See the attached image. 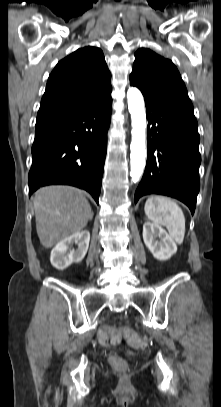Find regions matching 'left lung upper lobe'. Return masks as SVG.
Listing matches in <instances>:
<instances>
[{
	"label": "left lung upper lobe",
	"mask_w": 221,
	"mask_h": 407,
	"mask_svg": "<svg viewBox=\"0 0 221 407\" xmlns=\"http://www.w3.org/2000/svg\"><path fill=\"white\" fill-rule=\"evenodd\" d=\"M130 84L141 90L145 100L172 97L189 99L185 84L172 61L147 48H141L135 53Z\"/></svg>",
	"instance_id": "1"
}]
</instances>
